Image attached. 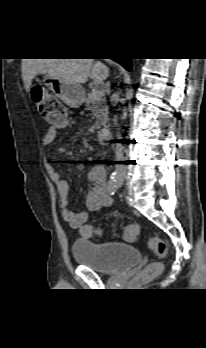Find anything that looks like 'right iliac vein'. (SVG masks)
<instances>
[{"instance_id":"right-iliac-vein-1","label":"right iliac vein","mask_w":206,"mask_h":348,"mask_svg":"<svg viewBox=\"0 0 206 348\" xmlns=\"http://www.w3.org/2000/svg\"><path fill=\"white\" fill-rule=\"evenodd\" d=\"M121 180H122L121 178H118V180H117V181H118V182H120Z\"/></svg>"}]
</instances>
